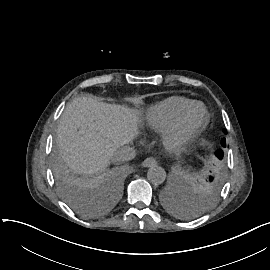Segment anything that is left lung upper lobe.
<instances>
[{"instance_id": "left-lung-upper-lobe-1", "label": "left lung upper lobe", "mask_w": 270, "mask_h": 270, "mask_svg": "<svg viewBox=\"0 0 270 270\" xmlns=\"http://www.w3.org/2000/svg\"><path fill=\"white\" fill-rule=\"evenodd\" d=\"M225 133H226V130H225ZM222 146L226 147L225 139H223V141H222ZM216 157H218L219 159H222L223 158V151L222 150L217 151ZM208 182L210 183L211 187H215L217 185V181H215L214 176H209Z\"/></svg>"}]
</instances>
